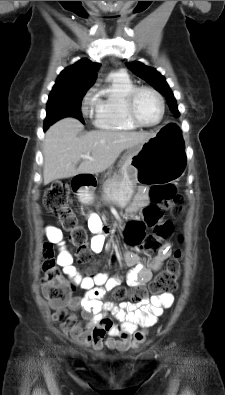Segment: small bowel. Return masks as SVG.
Listing matches in <instances>:
<instances>
[{
    "mask_svg": "<svg viewBox=\"0 0 225 395\" xmlns=\"http://www.w3.org/2000/svg\"><path fill=\"white\" fill-rule=\"evenodd\" d=\"M148 204V194L145 187H140L133 202L127 208V215L135 217ZM89 230L94 234L90 247L94 253H100L105 248L106 230L102 220L96 213L87 216ZM47 239L56 244L58 250L57 266L75 280L73 292H82V297H76L70 302L71 310L80 309L84 322L79 323L73 314L65 309H55L53 319L60 323L63 332L72 340L84 346H92L96 350L103 347L125 350L136 348L144 342L147 328L154 325L164 309L172 306L174 297L171 293L155 294L143 298L139 304L105 301V293L118 285V277H110L107 273H97L93 276H83L79 272L71 254L68 252L67 237L62 231L52 225L45 228ZM171 244L164 243L156 255L147 263L141 261L139 255L126 252L124 259L130 267L126 282L135 288H144L170 257ZM113 314L117 322L106 313ZM142 327V330H139Z\"/></svg>",
    "mask_w": 225,
    "mask_h": 395,
    "instance_id": "c3829d8e",
    "label": "small bowel"
}]
</instances>
